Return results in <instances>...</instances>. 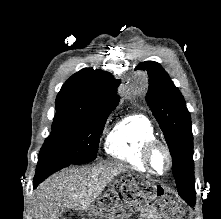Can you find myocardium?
Segmentation results:
<instances>
[{"label":"myocardium","mask_w":221,"mask_h":219,"mask_svg":"<svg viewBox=\"0 0 221 219\" xmlns=\"http://www.w3.org/2000/svg\"><path fill=\"white\" fill-rule=\"evenodd\" d=\"M162 149L163 152L166 155L167 158V167L164 172L159 173L155 171L153 165H152V154L155 149ZM141 158L147 169L149 170L150 173H152L155 176H163L166 175L172 168L173 165V157L171 154V151L168 147L167 144H165L163 141L159 139H152L148 142H146L142 148L141 151Z\"/></svg>","instance_id":"obj_1"}]
</instances>
